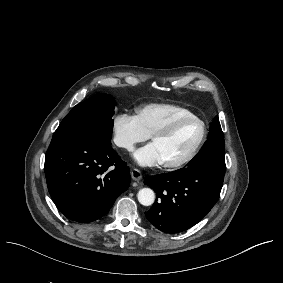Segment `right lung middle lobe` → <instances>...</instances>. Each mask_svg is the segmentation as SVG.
<instances>
[{"instance_id":"obj_1","label":"right lung middle lobe","mask_w":283,"mask_h":283,"mask_svg":"<svg viewBox=\"0 0 283 283\" xmlns=\"http://www.w3.org/2000/svg\"><path fill=\"white\" fill-rule=\"evenodd\" d=\"M114 99L98 94L76 105L62 120L52 139L84 138L110 145Z\"/></svg>"}]
</instances>
